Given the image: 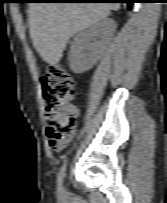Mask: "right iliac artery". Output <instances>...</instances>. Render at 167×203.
Wrapping results in <instances>:
<instances>
[{"instance_id":"82829eb1","label":"right iliac artery","mask_w":167,"mask_h":203,"mask_svg":"<svg viewBox=\"0 0 167 203\" xmlns=\"http://www.w3.org/2000/svg\"><path fill=\"white\" fill-rule=\"evenodd\" d=\"M65 170H66V161L64 165L61 167L57 176L58 190L61 193V195H62V184H63V177L65 175Z\"/></svg>"}]
</instances>
